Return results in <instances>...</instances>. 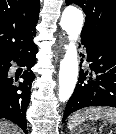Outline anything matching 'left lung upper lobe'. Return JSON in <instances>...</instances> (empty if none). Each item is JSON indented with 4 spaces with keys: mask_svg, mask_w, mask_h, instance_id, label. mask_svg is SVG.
Returning a JSON list of instances; mask_svg holds the SVG:
<instances>
[{
    "mask_svg": "<svg viewBox=\"0 0 116 134\" xmlns=\"http://www.w3.org/2000/svg\"><path fill=\"white\" fill-rule=\"evenodd\" d=\"M80 6L86 14L82 37L116 43V0H66Z\"/></svg>",
    "mask_w": 116,
    "mask_h": 134,
    "instance_id": "5c2ea615",
    "label": "left lung upper lobe"
}]
</instances>
